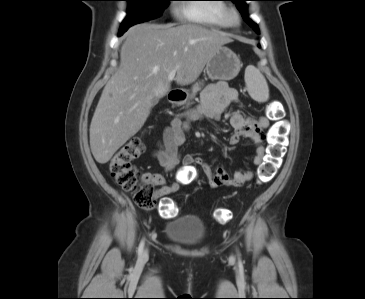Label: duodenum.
I'll use <instances>...</instances> for the list:
<instances>
[{
	"instance_id": "obj_1",
	"label": "duodenum",
	"mask_w": 365,
	"mask_h": 299,
	"mask_svg": "<svg viewBox=\"0 0 365 299\" xmlns=\"http://www.w3.org/2000/svg\"><path fill=\"white\" fill-rule=\"evenodd\" d=\"M169 100L174 104H180L186 98V92L180 89L171 90L168 94Z\"/></svg>"
}]
</instances>
